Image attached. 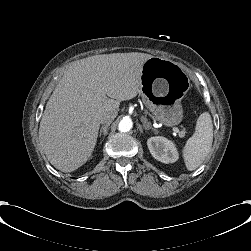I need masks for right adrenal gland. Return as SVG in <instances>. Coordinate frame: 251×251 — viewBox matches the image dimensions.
Masks as SVG:
<instances>
[{
  "label": "right adrenal gland",
  "instance_id": "right-adrenal-gland-1",
  "mask_svg": "<svg viewBox=\"0 0 251 251\" xmlns=\"http://www.w3.org/2000/svg\"><path fill=\"white\" fill-rule=\"evenodd\" d=\"M104 135V137L108 134V125H103L99 131V137H101V135Z\"/></svg>",
  "mask_w": 251,
  "mask_h": 251
}]
</instances>
